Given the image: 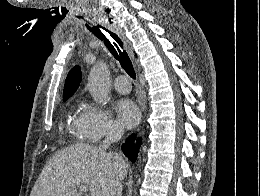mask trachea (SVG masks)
Returning a JSON list of instances; mask_svg holds the SVG:
<instances>
[{
	"mask_svg": "<svg viewBox=\"0 0 260 196\" xmlns=\"http://www.w3.org/2000/svg\"><path fill=\"white\" fill-rule=\"evenodd\" d=\"M107 34L108 38L104 40L105 46L112 53L114 58L118 60L123 70H125L126 73L135 80L136 73L128 53L123 49V41L118 37V35H116V33L107 32Z\"/></svg>",
	"mask_w": 260,
	"mask_h": 196,
	"instance_id": "1",
	"label": "trachea"
}]
</instances>
